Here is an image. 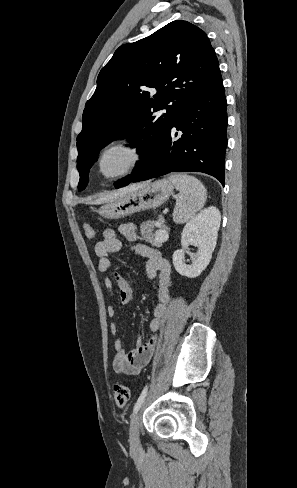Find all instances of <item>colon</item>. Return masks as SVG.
<instances>
[{"mask_svg": "<svg viewBox=\"0 0 297 488\" xmlns=\"http://www.w3.org/2000/svg\"><path fill=\"white\" fill-rule=\"evenodd\" d=\"M84 233L88 240H93L95 238V230L90 224L84 225ZM131 396L130 388L124 384H116L114 386V399L119 407H124Z\"/></svg>", "mask_w": 297, "mask_h": 488, "instance_id": "obj_1", "label": "colon"}]
</instances>
